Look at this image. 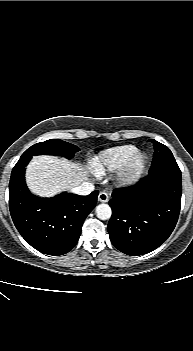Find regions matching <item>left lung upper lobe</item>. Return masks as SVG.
<instances>
[{
    "mask_svg": "<svg viewBox=\"0 0 193 351\" xmlns=\"http://www.w3.org/2000/svg\"><path fill=\"white\" fill-rule=\"evenodd\" d=\"M154 146V157L149 174L155 173L161 169L178 167L170 149L154 139H150Z\"/></svg>",
    "mask_w": 193,
    "mask_h": 351,
    "instance_id": "1",
    "label": "left lung upper lobe"
}]
</instances>
